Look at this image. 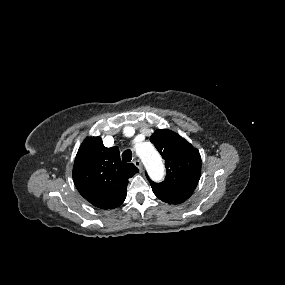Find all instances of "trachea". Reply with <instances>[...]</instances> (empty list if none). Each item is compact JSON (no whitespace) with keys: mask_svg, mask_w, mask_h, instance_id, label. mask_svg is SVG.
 Listing matches in <instances>:
<instances>
[{"mask_svg":"<svg viewBox=\"0 0 285 285\" xmlns=\"http://www.w3.org/2000/svg\"><path fill=\"white\" fill-rule=\"evenodd\" d=\"M122 160L124 162H130L132 160V152L130 150H125L122 153Z\"/></svg>","mask_w":285,"mask_h":285,"instance_id":"obj_1","label":"trachea"}]
</instances>
